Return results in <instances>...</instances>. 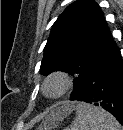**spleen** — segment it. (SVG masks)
Masks as SVG:
<instances>
[{
  "label": "spleen",
  "mask_w": 123,
  "mask_h": 130,
  "mask_svg": "<svg viewBox=\"0 0 123 130\" xmlns=\"http://www.w3.org/2000/svg\"><path fill=\"white\" fill-rule=\"evenodd\" d=\"M66 130H123L116 118L101 107L78 103L76 116Z\"/></svg>",
  "instance_id": "1"
}]
</instances>
